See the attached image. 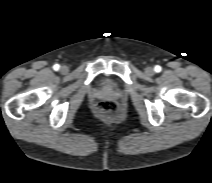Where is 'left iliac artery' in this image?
<instances>
[{
	"instance_id": "obj_1",
	"label": "left iliac artery",
	"mask_w": 212,
	"mask_h": 183,
	"mask_svg": "<svg viewBox=\"0 0 212 183\" xmlns=\"http://www.w3.org/2000/svg\"><path fill=\"white\" fill-rule=\"evenodd\" d=\"M155 72H160L162 70L161 66L156 65L154 68Z\"/></svg>"
}]
</instances>
